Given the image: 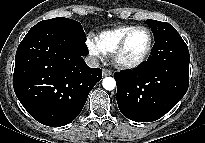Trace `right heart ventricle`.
Here are the masks:
<instances>
[{
    "label": "right heart ventricle",
    "mask_w": 205,
    "mask_h": 143,
    "mask_svg": "<svg viewBox=\"0 0 205 143\" xmlns=\"http://www.w3.org/2000/svg\"><path fill=\"white\" fill-rule=\"evenodd\" d=\"M133 25H121L116 28L101 32L96 38L95 41L105 55H110L120 42L124 34L130 30Z\"/></svg>",
    "instance_id": "e07e8e85"
}]
</instances>
